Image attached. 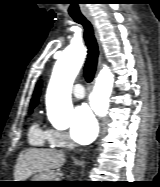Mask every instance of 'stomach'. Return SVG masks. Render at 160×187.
I'll use <instances>...</instances> for the list:
<instances>
[{"label": "stomach", "instance_id": "obj_1", "mask_svg": "<svg viewBox=\"0 0 160 187\" xmlns=\"http://www.w3.org/2000/svg\"><path fill=\"white\" fill-rule=\"evenodd\" d=\"M29 181H36V182H28L23 184L22 186L27 187H49L53 186V182L48 181H57L56 180V174L53 172H46L43 174H39L33 177L32 180Z\"/></svg>", "mask_w": 160, "mask_h": 187}]
</instances>
